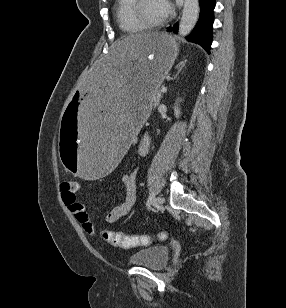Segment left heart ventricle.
<instances>
[{
    "mask_svg": "<svg viewBox=\"0 0 286 308\" xmlns=\"http://www.w3.org/2000/svg\"><path fill=\"white\" fill-rule=\"evenodd\" d=\"M141 13L150 22L162 21L167 16L163 0H145L141 7Z\"/></svg>",
    "mask_w": 286,
    "mask_h": 308,
    "instance_id": "1",
    "label": "left heart ventricle"
}]
</instances>
